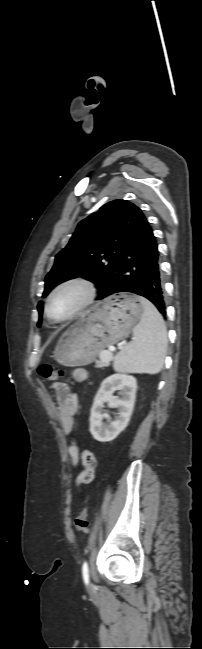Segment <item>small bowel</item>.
<instances>
[{"label": "small bowel", "instance_id": "obj_1", "mask_svg": "<svg viewBox=\"0 0 202 649\" xmlns=\"http://www.w3.org/2000/svg\"><path fill=\"white\" fill-rule=\"evenodd\" d=\"M86 378V372L83 369H77L73 373V382L82 383ZM56 395V410L62 425L63 432L69 435L74 427V417L78 409V399L76 393L72 392L69 386L62 382L52 385ZM71 465L74 468L82 463L83 470L76 478V486L89 484L94 480L97 462L94 454L89 450H81L77 442L73 441L68 449Z\"/></svg>", "mask_w": 202, "mask_h": 649}]
</instances>
